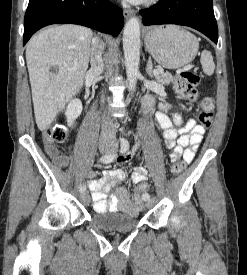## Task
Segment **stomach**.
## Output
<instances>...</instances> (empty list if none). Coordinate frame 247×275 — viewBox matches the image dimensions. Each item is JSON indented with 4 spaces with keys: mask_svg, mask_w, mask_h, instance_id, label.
I'll use <instances>...</instances> for the list:
<instances>
[{
    "mask_svg": "<svg viewBox=\"0 0 247 275\" xmlns=\"http://www.w3.org/2000/svg\"><path fill=\"white\" fill-rule=\"evenodd\" d=\"M145 46L164 68L176 69L187 65L195 58L199 43L188 31L168 25L146 29Z\"/></svg>",
    "mask_w": 247,
    "mask_h": 275,
    "instance_id": "0dacf381",
    "label": "stomach"
}]
</instances>
